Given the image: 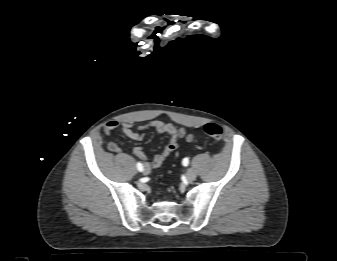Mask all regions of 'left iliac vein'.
<instances>
[{"mask_svg": "<svg viewBox=\"0 0 337 261\" xmlns=\"http://www.w3.org/2000/svg\"><path fill=\"white\" fill-rule=\"evenodd\" d=\"M186 175H187V179L190 181L195 180L197 177L195 170L191 168L187 170Z\"/></svg>", "mask_w": 337, "mask_h": 261, "instance_id": "obj_1", "label": "left iliac vein"}]
</instances>
